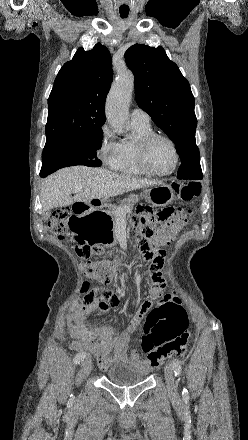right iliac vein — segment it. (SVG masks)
I'll return each mask as SVG.
<instances>
[{
    "label": "right iliac vein",
    "instance_id": "1",
    "mask_svg": "<svg viewBox=\"0 0 248 440\" xmlns=\"http://www.w3.org/2000/svg\"><path fill=\"white\" fill-rule=\"evenodd\" d=\"M82 373L86 377L90 374L92 370V362L89 357H87L85 360L81 363Z\"/></svg>",
    "mask_w": 248,
    "mask_h": 440
}]
</instances>
